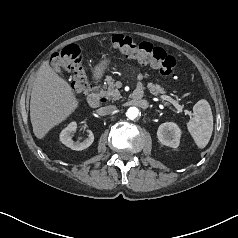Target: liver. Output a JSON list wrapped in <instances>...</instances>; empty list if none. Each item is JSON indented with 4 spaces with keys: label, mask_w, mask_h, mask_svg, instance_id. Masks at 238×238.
I'll return each instance as SVG.
<instances>
[{
    "label": "liver",
    "mask_w": 238,
    "mask_h": 238,
    "mask_svg": "<svg viewBox=\"0 0 238 238\" xmlns=\"http://www.w3.org/2000/svg\"><path fill=\"white\" fill-rule=\"evenodd\" d=\"M79 102L70 85L45 61L37 71L30 100L33 133L42 139L54 126L67 119Z\"/></svg>",
    "instance_id": "1"
}]
</instances>
